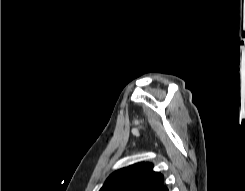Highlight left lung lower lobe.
I'll use <instances>...</instances> for the list:
<instances>
[{
  "label": "left lung lower lobe",
  "mask_w": 245,
  "mask_h": 191,
  "mask_svg": "<svg viewBox=\"0 0 245 191\" xmlns=\"http://www.w3.org/2000/svg\"><path fill=\"white\" fill-rule=\"evenodd\" d=\"M161 191H169L167 186H164V188Z\"/></svg>",
  "instance_id": "1"
}]
</instances>
